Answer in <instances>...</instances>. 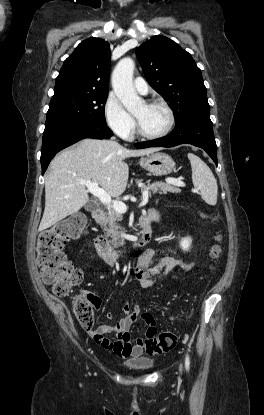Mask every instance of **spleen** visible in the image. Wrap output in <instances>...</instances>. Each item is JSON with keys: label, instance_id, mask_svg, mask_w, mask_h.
<instances>
[{"label": "spleen", "instance_id": "1", "mask_svg": "<svg viewBox=\"0 0 264 415\" xmlns=\"http://www.w3.org/2000/svg\"><path fill=\"white\" fill-rule=\"evenodd\" d=\"M188 159L192 168V182L199 190L201 198L209 205H216L218 187L212 171L204 161L193 153H188Z\"/></svg>", "mask_w": 264, "mask_h": 415}]
</instances>
